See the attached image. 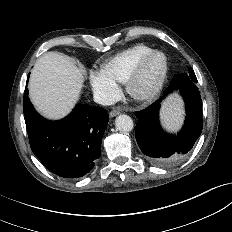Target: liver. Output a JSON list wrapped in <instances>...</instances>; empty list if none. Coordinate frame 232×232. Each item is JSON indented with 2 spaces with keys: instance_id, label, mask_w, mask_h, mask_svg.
<instances>
[{
  "instance_id": "liver-1",
  "label": "liver",
  "mask_w": 232,
  "mask_h": 232,
  "mask_svg": "<svg viewBox=\"0 0 232 232\" xmlns=\"http://www.w3.org/2000/svg\"><path fill=\"white\" fill-rule=\"evenodd\" d=\"M84 69L67 56L47 52L35 63L29 94L36 109L50 119H60L71 111L80 96Z\"/></svg>"
}]
</instances>
